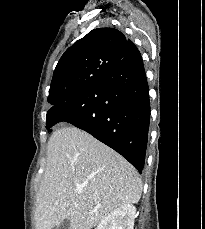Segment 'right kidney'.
<instances>
[{"label": "right kidney", "mask_w": 205, "mask_h": 229, "mask_svg": "<svg viewBox=\"0 0 205 229\" xmlns=\"http://www.w3.org/2000/svg\"><path fill=\"white\" fill-rule=\"evenodd\" d=\"M135 213L132 204H124L104 217L95 229H133Z\"/></svg>", "instance_id": "right-kidney-1"}]
</instances>
